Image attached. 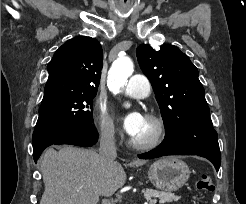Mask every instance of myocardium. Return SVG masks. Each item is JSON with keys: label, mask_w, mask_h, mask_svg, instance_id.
<instances>
[{"label": "myocardium", "mask_w": 246, "mask_h": 204, "mask_svg": "<svg viewBox=\"0 0 246 204\" xmlns=\"http://www.w3.org/2000/svg\"><path fill=\"white\" fill-rule=\"evenodd\" d=\"M145 118L153 123L154 133L152 137L146 141H137L132 137L129 138V145L137 150H151L156 148L163 141L166 132L164 120L160 116L154 113H147Z\"/></svg>", "instance_id": "f54148a6"}]
</instances>
